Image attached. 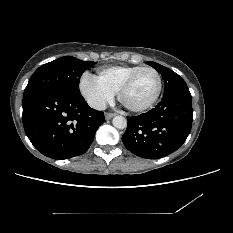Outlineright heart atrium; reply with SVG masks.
<instances>
[{
    "mask_svg": "<svg viewBox=\"0 0 233 233\" xmlns=\"http://www.w3.org/2000/svg\"><path fill=\"white\" fill-rule=\"evenodd\" d=\"M80 91L87 103L94 109H103L113 99L111 92L88 75L81 79Z\"/></svg>",
    "mask_w": 233,
    "mask_h": 233,
    "instance_id": "obj_1",
    "label": "right heart atrium"
}]
</instances>
